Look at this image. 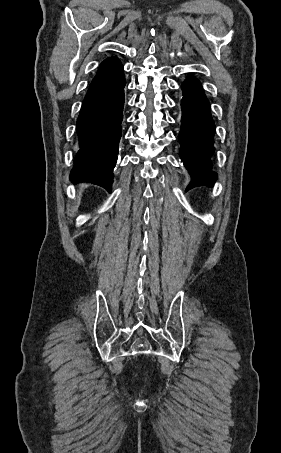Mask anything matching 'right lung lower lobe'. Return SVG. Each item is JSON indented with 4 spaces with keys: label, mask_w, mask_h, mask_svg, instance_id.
Listing matches in <instances>:
<instances>
[{
    "label": "right lung lower lobe",
    "mask_w": 281,
    "mask_h": 453,
    "mask_svg": "<svg viewBox=\"0 0 281 453\" xmlns=\"http://www.w3.org/2000/svg\"><path fill=\"white\" fill-rule=\"evenodd\" d=\"M125 84L123 66L116 57L100 64L77 120L80 149L70 180L111 191L121 138Z\"/></svg>",
    "instance_id": "right-lung-lower-lobe-1"
}]
</instances>
